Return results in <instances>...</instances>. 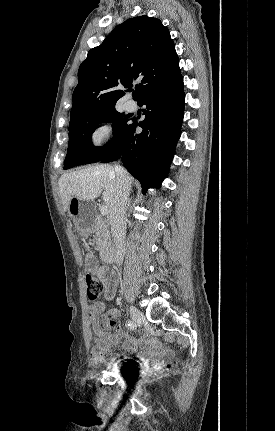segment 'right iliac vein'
Masks as SVG:
<instances>
[{"instance_id": "right-iliac-vein-1", "label": "right iliac vein", "mask_w": 275, "mask_h": 431, "mask_svg": "<svg viewBox=\"0 0 275 431\" xmlns=\"http://www.w3.org/2000/svg\"><path fill=\"white\" fill-rule=\"evenodd\" d=\"M129 312H130V316H131V318L134 320V321H137V320H139L140 318H141V316H142V313L137 309V308H135V307H130V310H129Z\"/></svg>"}]
</instances>
